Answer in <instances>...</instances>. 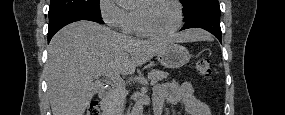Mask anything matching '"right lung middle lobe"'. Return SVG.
<instances>
[{
    "mask_svg": "<svg viewBox=\"0 0 285 115\" xmlns=\"http://www.w3.org/2000/svg\"><path fill=\"white\" fill-rule=\"evenodd\" d=\"M70 12H84L101 16L99 0H50L49 19Z\"/></svg>",
    "mask_w": 285,
    "mask_h": 115,
    "instance_id": "right-lung-middle-lobe-1",
    "label": "right lung middle lobe"
}]
</instances>
